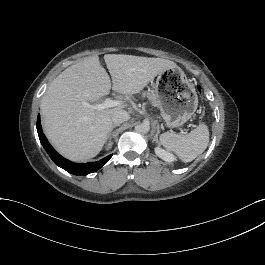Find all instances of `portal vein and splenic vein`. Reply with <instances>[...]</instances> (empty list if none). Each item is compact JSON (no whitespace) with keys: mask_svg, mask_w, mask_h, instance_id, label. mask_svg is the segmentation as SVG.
<instances>
[{"mask_svg":"<svg viewBox=\"0 0 265 265\" xmlns=\"http://www.w3.org/2000/svg\"><path fill=\"white\" fill-rule=\"evenodd\" d=\"M80 102L84 107L90 106L89 103L86 102L85 100H81ZM115 105L116 101H113L111 98H107L104 104L99 105V108H108V107H113Z\"/></svg>","mask_w":265,"mask_h":265,"instance_id":"1","label":"portal vein and splenic vein"}]
</instances>
